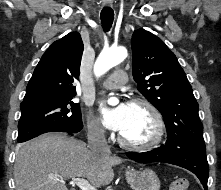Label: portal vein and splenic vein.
Returning a JSON list of instances; mask_svg holds the SVG:
<instances>
[{"label":"portal vein and splenic vein","mask_w":221,"mask_h":190,"mask_svg":"<svg viewBox=\"0 0 221 190\" xmlns=\"http://www.w3.org/2000/svg\"><path fill=\"white\" fill-rule=\"evenodd\" d=\"M62 182L64 183L63 180ZM70 183L73 185H77L81 190H97L86 179L83 178H72V181Z\"/></svg>","instance_id":"1"}]
</instances>
